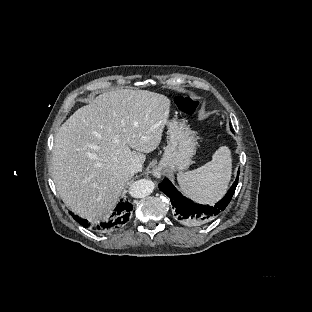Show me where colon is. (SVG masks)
<instances>
[{
	"label": "colon",
	"instance_id": "1",
	"mask_svg": "<svg viewBox=\"0 0 312 312\" xmlns=\"http://www.w3.org/2000/svg\"><path fill=\"white\" fill-rule=\"evenodd\" d=\"M174 103L180 111L188 115L195 114L198 109V102L188 97L176 96Z\"/></svg>",
	"mask_w": 312,
	"mask_h": 312
}]
</instances>
